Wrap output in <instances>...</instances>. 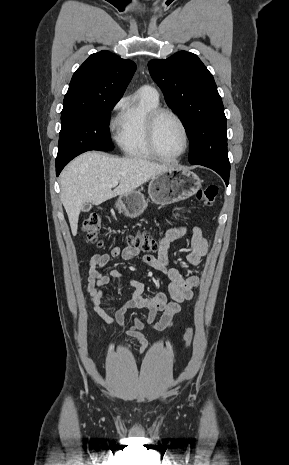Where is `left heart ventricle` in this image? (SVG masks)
Returning a JSON list of instances; mask_svg holds the SVG:
<instances>
[{
	"mask_svg": "<svg viewBox=\"0 0 289 465\" xmlns=\"http://www.w3.org/2000/svg\"><path fill=\"white\" fill-rule=\"evenodd\" d=\"M184 133L179 123L171 116L164 115L158 123L157 145L166 157H174L184 148Z\"/></svg>",
	"mask_w": 289,
	"mask_h": 465,
	"instance_id": "obj_1",
	"label": "left heart ventricle"
}]
</instances>
